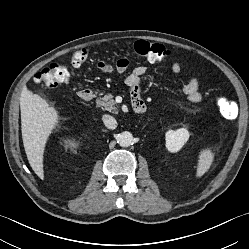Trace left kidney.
<instances>
[{
    "mask_svg": "<svg viewBox=\"0 0 249 249\" xmlns=\"http://www.w3.org/2000/svg\"><path fill=\"white\" fill-rule=\"evenodd\" d=\"M189 139V131L186 128L169 130L165 134L166 148L170 152L179 151Z\"/></svg>",
    "mask_w": 249,
    "mask_h": 249,
    "instance_id": "obj_1",
    "label": "left kidney"
}]
</instances>
